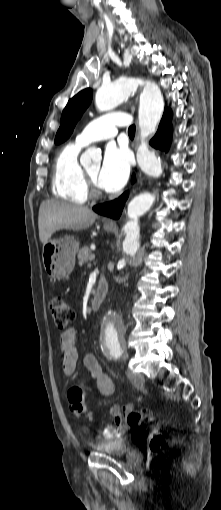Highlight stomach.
Instances as JSON below:
<instances>
[{
	"label": "stomach",
	"mask_w": 221,
	"mask_h": 510,
	"mask_svg": "<svg viewBox=\"0 0 221 510\" xmlns=\"http://www.w3.org/2000/svg\"><path fill=\"white\" fill-rule=\"evenodd\" d=\"M104 229L108 232L115 230L109 226H104ZM78 250L79 242L70 237L49 240L43 245V265L51 281L65 279L71 274Z\"/></svg>",
	"instance_id": "1"
}]
</instances>
